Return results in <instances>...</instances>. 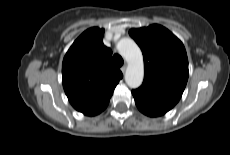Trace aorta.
<instances>
[{"mask_svg":"<svg viewBox=\"0 0 230 155\" xmlns=\"http://www.w3.org/2000/svg\"><path fill=\"white\" fill-rule=\"evenodd\" d=\"M117 50L127 61L125 81L130 88H138L144 77L143 56L138 45L130 38H123L117 44Z\"/></svg>","mask_w":230,"mask_h":155,"instance_id":"obj_1","label":"aorta"}]
</instances>
